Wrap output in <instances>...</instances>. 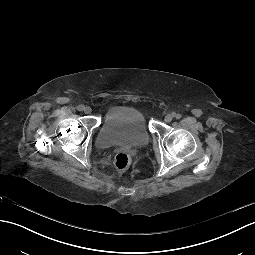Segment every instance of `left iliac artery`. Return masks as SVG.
<instances>
[{
    "instance_id": "1",
    "label": "left iliac artery",
    "mask_w": 255,
    "mask_h": 255,
    "mask_svg": "<svg viewBox=\"0 0 255 255\" xmlns=\"http://www.w3.org/2000/svg\"><path fill=\"white\" fill-rule=\"evenodd\" d=\"M176 119H180L181 118V115L180 114H174L173 115Z\"/></svg>"
}]
</instances>
